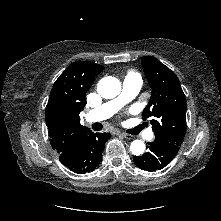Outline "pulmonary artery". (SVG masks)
Masks as SVG:
<instances>
[{
    "label": "pulmonary artery",
    "mask_w": 221,
    "mask_h": 221,
    "mask_svg": "<svg viewBox=\"0 0 221 221\" xmlns=\"http://www.w3.org/2000/svg\"><path fill=\"white\" fill-rule=\"evenodd\" d=\"M142 86V78L137 74H130L125 77L121 94L101 106L91 110L86 118L89 122L105 120L114 115L125 103L131 101L139 93ZM147 138H152V132L147 133Z\"/></svg>",
    "instance_id": "pulmonary-artery-1"
}]
</instances>
